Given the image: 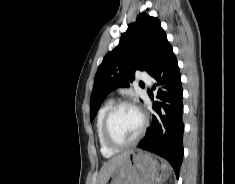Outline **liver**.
I'll return each instance as SVG.
<instances>
[{
    "label": "liver",
    "mask_w": 235,
    "mask_h": 184,
    "mask_svg": "<svg viewBox=\"0 0 235 184\" xmlns=\"http://www.w3.org/2000/svg\"><path fill=\"white\" fill-rule=\"evenodd\" d=\"M129 154H132V152H125V154H119V156H115V158H112V160H108L106 164H103L98 174L97 184H106L114 168H116V166H121V164H124Z\"/></svg>",
    "instance_id": "6515ba94"
}]
</instances>
